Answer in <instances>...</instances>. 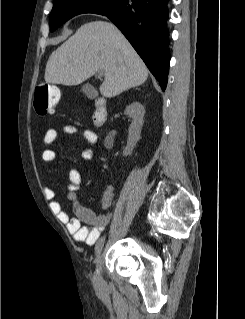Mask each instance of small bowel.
<instances>
[{"label": "small bowel", "mask_w": 245, "mask_h": 319, "mask_svg": "<svg viewBox=\"0 0 245 319\" xmlns=\"http://www.w3.org/2000/svg\"><path fill=\"white\" fill-rule=\"evenodd\" d=\"M64 132L66 134L79 133L90 145H95L97 143V135L91 129L78 131L75 126L67 125L64 128ZM56 138L57 131L55 129H48L44 134L43 142L46 146H51L54 144ZM56 156V151L48 148L43 151L42 160L47 164L53 163L56 160ZM92 156L93 151L91 148H86L81 153V157L84 160H89ZM68 177V200L72 204V216L63 210L59 201L55 200V192L52 188L46 187L44 195L51 201L52 211L57 215L61 222L66 224L68 231L73 235L74 239L78 242H84L87 245H93L111 220L112 214L107 212V210L112 204L113 187L108 186L103 192L101 209L104 213L96 214L79 202L77 191L83 184V178L79 171L75 168H71L68 172Z\"/></svg>", "instance_id": "c3829d8e"}]
</instances>
